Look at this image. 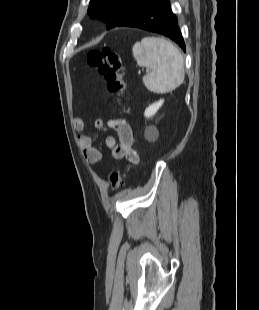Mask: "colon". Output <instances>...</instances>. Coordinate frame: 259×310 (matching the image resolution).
<instances>
[{
	"label": "colon",
	"instance_id": "obj_1",
	"mask_svg": "<svg viewBox=\"0 0 259 310\" xmlns=\"http://www.w3.org/2000/svg\"><path fill=\"white\" fill-rule=\"evenodd\" d=\"M88 63L101 74L107 82L109 91L113 94V104L124 105L126 102V82L124 70L121 66L118 53L111 47L105 46L91 50L87 56ZM126 172L124 169H115L108 175L113 188L124 184Z\"/></svg>",
	"mask_w": 259,
	"mask_h": 310
}]
</instances>
